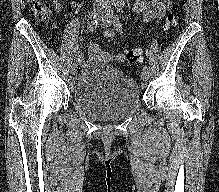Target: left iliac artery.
<instances>
[{"label": "left iliac artery", "instance_id": "obj_1", "mask_svg": "<svg viewBox=\"0 0 219 192\" xmlns=\"http://www.w3.org/2000/svg\"><path fill=\"white\" fill-rule=\"evenodd\" d=\"M115 19H116V29H117V31L122 32L123 31V26H122V24L119 20V17L116 16ZM142 70L148 72V67L145 65V66H143Z\"/></svg>", "mask_w": 219, "mask_h": 192}]
</instances>
